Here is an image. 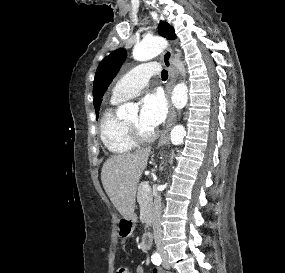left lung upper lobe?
<instances>
[{"mask_svg": "<svg viewBox=\"0 0 285 273\" xmlns=\"http://www.w3.org/2000/svg\"><path fill=\"white\" fill-rule=\"evenodd\" d=\"M158 33L159 35L168 39L176 38L173 27L165 22H161L159 24ZM126 56L127 53L125 49H117L113 51L110 55H108L106 58H104L98 66L93 86L94 107L96 110L97 118L103 94L112 82L116 73L119 71V68L125 61Z\"/></svg>", "mask_w": 285, "mask_h": 273, "instance_id": "5c2ea615", "label": "left lung upper lobe"}]
</instances>
